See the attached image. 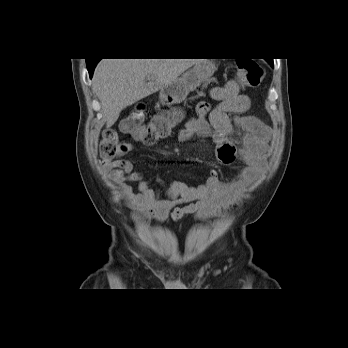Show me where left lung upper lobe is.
<instances>
[{"label":"left lung upper lobe","mask_w":348,"mask_h":348,"mask_svg":"<svg viewBox=\"0 0 348 348\" xmlns=\"http://www.w3.org/2000/svg\"><path fill=\"white\" fill-rule=\"evenodd\" d=\"M268 62H269L270 64H273V60H268Z\"/></svg>","instance_id":"1"}]
</instances>
